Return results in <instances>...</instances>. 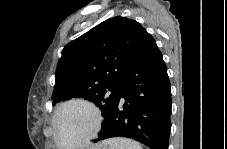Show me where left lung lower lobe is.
<instances>
[{"label": "left lung lower lobe", "instance_id": "0a47b994", "mask_svg": "<svg viewBox=\"0 0 227 149\" xmlns=\"http://www.w3.org/2000/svg\"><path fill=\"white\" fill-rule=\"evenodd\" d=\"M171 86L154 38L143 28L122 81L94 142L126 137L152 149H168Z\"/></svg>", "mask_w": 227, "mask_h": 149}]
</instances>
